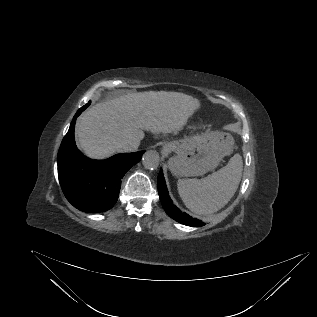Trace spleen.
<instances>
[{
    "mask_svg": "<svg viewBox=\"0 0 317 317\" xmlns=\"http://www.w3.org/2000/svg\"><path fill=\"white\" fill-rule=\"evenodd\" d=\"M243 161L235 154L226 166L203 179H179V195L188 209L208 215L223 208L234 196L242 177Z\"/></svg>",
    "mask_w": 317,
    "mask_h": 317,
    "instance_id": "spleen-1",
    "label": "spleen"
}]
</instances>
